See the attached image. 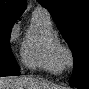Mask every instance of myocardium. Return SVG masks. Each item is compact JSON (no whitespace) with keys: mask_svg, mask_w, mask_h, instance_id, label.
Masks as SVG:
<instances>
[{"mask_svg":"<svg viewBox=\"0 0 89 89\" xmlns=\"http://www.w3.org/2000/svg\"><path fill=\"white\" fill-rule=\"evenodd\" d=\"M59 56L64 67H72L74 65L73 52L67 45L60 43Z\"/></svg>","mask_w":89,"mask_h":89,"instance_id":"obj_1","label":"myocardium"}]
</instances>
